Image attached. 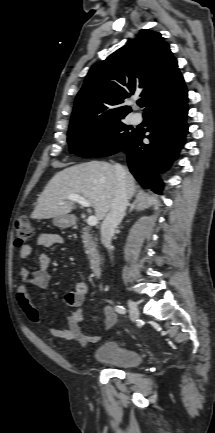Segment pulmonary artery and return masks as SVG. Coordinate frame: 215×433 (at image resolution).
<instances>
[{"label":"pulmonary artery","mask_w":215,"mask_h":433,"mask_svg":"<svg viewBox=\"0 0 215 433\" xmlns=\"http://www.w3.org/2000/svg\"><path fill=\"white\" fill-rule=\"evenodd\" d=\"M131 120H132L133 123L138 124V123L141 122L142 117H141V115H140L139 113H134V114L131 116Z\"/></svg>","instance_id":"pulmonary-artery-1"}]
</instances>
